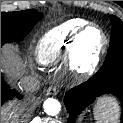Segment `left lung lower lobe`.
I'll return each instance as SVG.
<instances>
[{"label": "left lung lower lobe", "instance_id": "left-lung-lower-lobe-1", "mask_svg": "<svg viewBox=\"0 0 123 123\" xmlns=\"http://www.w3.org/2000/svg\"><path fill=\"white\" fill-rule=\"evenodd\" d=\"M107 93L119 98L123 111V69L109 72L101 67L89 80L70 89L64 98L69 113L68 123H75L77 115L97 97ZM121 123H123V112Z\"/></svg>", "mask_w": 123, "mask_h": 123}]
</instances>
